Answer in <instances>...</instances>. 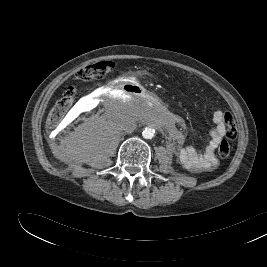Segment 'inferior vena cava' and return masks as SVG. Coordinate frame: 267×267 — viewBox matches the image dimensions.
Listing matches in <instances>:
<instances>
[{
  "label": "inferior vena cava",
  "mask_w": 267,
  "mask_h": 267,
  "mask_svg": "<svg viewBox=\"0 0 267 267\" xmlns=\"http://www.w3.org/2000/svg\"><path fill=\"white\" fill-rule=\"evenodd\" d=\"M116 126L119 131L132 133L134 129L136 128V122L129 116H121L116 121Z\"/></svg>",
  "instance_id": "inferior-vena-cava-1"
}]
</instances>
